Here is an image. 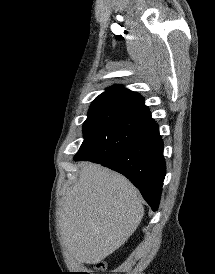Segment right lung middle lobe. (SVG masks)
Segmentation results:
<instances>
[{
  "label": "right lung middle lobe",
  "mask_w": 215,
  "mask_h": 274,
  "mask_svg": "<svg viewBox=\"0 0 215 274\" xmlns=\"http://www.w3.org/2000/svg\"><path fill=\"white\" fill-rule=\"evenodd\" d=\"M154 122L149 112L112 102H93L83 124L84 142L74 160H110Z\"/></svg>",
  "instance_id": "obj_1"
}]
</instances>
